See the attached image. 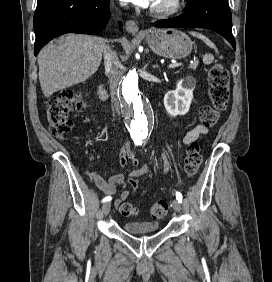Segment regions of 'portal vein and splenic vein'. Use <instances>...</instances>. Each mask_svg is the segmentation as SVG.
I'll return each mask as SVG.
<instances>
[{"instance_id":"18ae733b","label":"portal vein and splenic vein","mask_w":272,"mask_h":282,"mask_svg":"<svg viewBox=\"0 0 272 282\" xmlns=\"http://www.w3.org/2000/svg\"><path fill=\"white\" fill-rule=\"evenodd\" d=\"M181 66H182V63H174V64L168 65V68L174 69V68L181 67Z\"/></svg>"}]
</instances>
